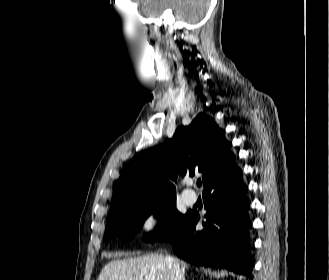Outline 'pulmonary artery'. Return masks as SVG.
Returning a JSON list of instances; mask_svg holds the SVG:
<instances>
[{"label": "pulmonary artery", "mask_w": 329, "mask_h": 280, "mask_svg": "<svg viewBox=\"0 0 329 280\" xmlns=\"http://www.w3.org/2000/svg\"><path fill=\"white\" fill-rule=\"evenodd\" d=\"M183 198L188 205H193L197 201V194L191 189H186L183 192Z\"/></svg>", "instance_id": "obj_1"}]
</instances>
